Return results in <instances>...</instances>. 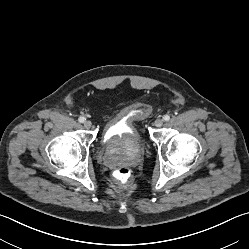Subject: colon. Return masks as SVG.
Wrapping results in <instances>:
<instances>
[{
    "label": "colon",
    "instance_id": "colon-1",
    "mask_svg": "<svg viewBox=\"0 0 249 249\" xmlns=\"http://www.w3.org/2000/svg\"><path fill=\"white\" fill-rule=\"evenodd\" d=\"M132 177V171L130 168L126 166H121L116 169L114 172V179L121 183V184H126L130 181Z\"/></svg>",
    "mask_w": 249,
    "mask_h": 249
}]
</instances>
